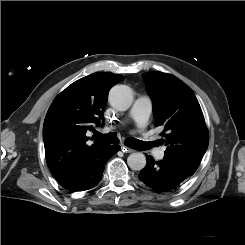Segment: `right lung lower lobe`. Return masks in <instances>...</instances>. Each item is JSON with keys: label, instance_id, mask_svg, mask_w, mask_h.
Instances as JSON below:
<instances>
[{"label": "right lung lower lobe", "instance_id": "1", "mask_svg": "<svg viewBox=\"0 0 245 245\" xmlns=\"http://www.w3.org/2000/svg\"><path fill=\"white\" fill-rule=\"evenodd\" d=\"M119 150V145L108 144L73 163L55 179L63 188L73 192L91 189L100 182L106 162Z\"/></svg>", "mask_w": 245, "mask_h": 245}]
</instances>
